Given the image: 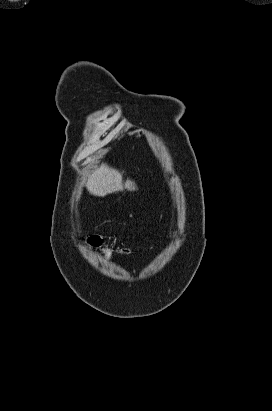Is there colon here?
I'll list each match as a JSON object with an SVG mask.
<instances>
[{
	"label": "colon",
	"instance_id": "obj_1",
	"mask_svg": "<svg viewBox=\"0 0 272 411\" xmlns=\"http://www.w3.org/2000/svg\"><path fill=\"white\" fill-rule=\"evenodd\" d=\"M88 243L90 246L95 247V248H101L102 247V239L99 236H90L88 238ZM102 253L107 257L111 258L112 257V250L110 248H102Z\"/></svg>",
	"mask_w": 272,
	"mask_h": 411
}]
</instances>
